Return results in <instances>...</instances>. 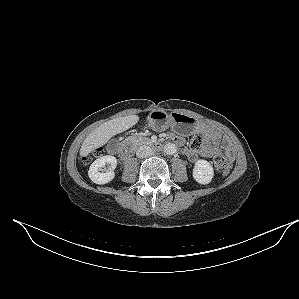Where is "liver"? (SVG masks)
Wrapping results in <instances>:
<instances>
[{
    "label": "liver",
    "instance_id": "1",
    "mask_svg": "<svg viewBox=\"0 0 299 299\" xmlns=\"http://www.w3.org/2000/svg\"><path fill=\"white\" fill-rule=\"evenodd\" d=\"M138 121L137 115H129L103 123L85 138L80 149V156L86 157L95 149L105 145L111 137L128 130Z\"/></svg>",
    "mask_w": 299,
    "mask_h": 299
}]
</instances>
